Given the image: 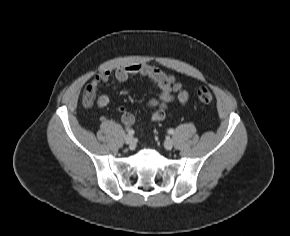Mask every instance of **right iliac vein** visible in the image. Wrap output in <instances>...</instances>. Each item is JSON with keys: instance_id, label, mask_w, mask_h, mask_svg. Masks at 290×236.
Instances as JSON below:
<instances>
[{"instance_id": "1", "label": "right iliac vein", "mask_w": 290, "mask_h": 236, "mask_svg": "<svg viewBox=\"0 0 290 236\" xmlns=\"http://www.w3.org/2000/svg\"><path fill=\"white\" fill-rule=\"evenodd\" d=\"M124 141L127 145L130 146V148H134L135 146V140L133 138L132 135H126L125 138H124Z\"/></svg>"}]
</instances>
